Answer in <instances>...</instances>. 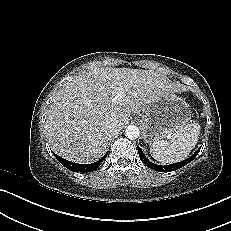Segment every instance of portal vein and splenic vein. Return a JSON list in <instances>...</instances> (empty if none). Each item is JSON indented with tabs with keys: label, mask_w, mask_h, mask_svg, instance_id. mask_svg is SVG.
<instances>
[{
	"label": "portal vein and splenic vein",
	"mask_w": 231,
	"mask_h": 231,
	"mask_svg": "<svg viewBox=\"0 0 231 231\" xmlns=\"http://www.w3.org/2000/svg\"><path fill=\"white\" fill-rule=\"evenodd\" d=\"M123 99V92L119 91L117 95L113 98L112 102L114 104L121 102Z\"/></svg>",
	"instance_id": "18ae733b"
}]
</instances>
